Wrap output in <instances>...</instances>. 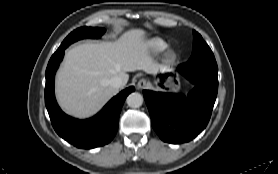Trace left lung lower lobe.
<instances>
[{
  "instance_id": "left-lung-lower-lobe-1",
  "label": "left lung lower lobe",
  "mask_w": 278,
  "mask_h": 174,
  "mask_svg": "<svg viewBox=\"0 0 278 174\" xmlns=\"http://www.w3.org/2000/svg\"><path fill=\"white\" fill-rule=\"evenodd\" d=\"M177 71L195 84L187 96L143 91L154 130L163 141L173 144L188 142L204 130L218 90V69L186 62Z\"/></svg>"
}]
</instances>
